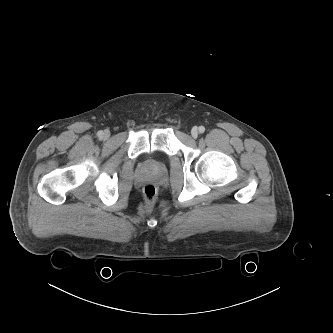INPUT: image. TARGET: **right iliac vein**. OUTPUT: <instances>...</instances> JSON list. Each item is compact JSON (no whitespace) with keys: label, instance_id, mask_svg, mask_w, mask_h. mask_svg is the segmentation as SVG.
<instances>
[{"label":"right iliac vein","instance_id":"63e3f726","mask_svg":"<svg viewBox=\"0 0 333 333\" xmlns=\"http://www.w3.org/2000/svg\"><path fill=\"white\" fill-rule=\"evenodd\" d=\"M109 136H110V132L106 131V132L103 133V137L105 139L109 138Z\"/></svg>","mask_w":333,"mask_h":333}]
</instances>
